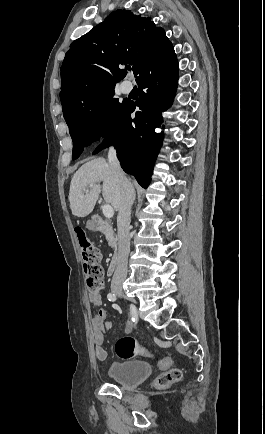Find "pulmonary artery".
Listing matches in <instances>:
<instances>
[{"label": "pulmonary artery", "instance_id": "e3ab8cb5", "mask_svg": "<svg viewBox=\"0 0 265 434\" xmlns=\"http://www.w3.org/2000/svg\"><path fill=\"white\" fill-rule=\"evenodd\" d=\"M131 91V88L128 86H122V92L124 94H128Z\"/></svg>", "mask_w": 265, "mask_h": 434}]
</instances>
